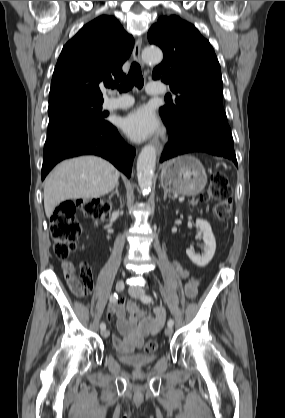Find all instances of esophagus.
<instances>
[{
  "instance_id": "esophagus-1",
  "label": "esophagus",
  "mask_w": 285,
  "mask_h": 418,
  "mask_svg": "<svg viewBox=\"0 0 285 418\" xmlns=\"http://www.w3.org/2000/svg\"><path fill=\"white\" fill-rule=\"evenodd\" d=\"M141 47H142V39L138 38L135 42L132 55H133V59L137 63H139L141 66H143V62L141 60ZM153 143H154V145L157 149L158 155H160L162 150H163L162 144L159 142V140L157 138L153 139Z\"/></svg>"
}]
</instances>
